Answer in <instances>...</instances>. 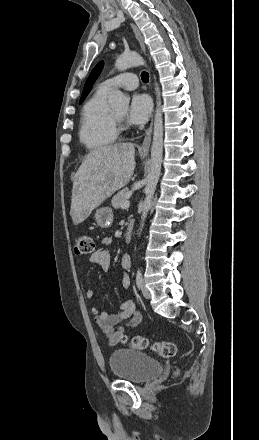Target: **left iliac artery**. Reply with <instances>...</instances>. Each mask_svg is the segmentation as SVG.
I'll list each match as a JSON object with an SVG mask.
<instances>
[{"label":"left iliac artery","instance_id":"obj_1","mask_svg":"<svg viewBox=\"0 0 259 440\" xmlns=\"http://www.w3.org/2000/svg\"><path fill=\"white\" fill-rule=\"evenodd\" d=\"M136 284H137L138 288H140L142 286V274L139 269L137 270V273H136Z\"/></svg>","mask_w":259,"mask_h":440}]
</instances>
